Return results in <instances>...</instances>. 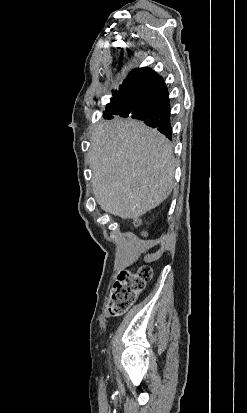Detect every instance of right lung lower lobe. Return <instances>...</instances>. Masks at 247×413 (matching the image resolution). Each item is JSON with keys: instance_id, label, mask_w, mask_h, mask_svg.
I'll list each match as a JSON object with an SVG mask.
<instances>
[{"instance_id": "right-lung-lower-lobe-1", "label": "right lung lower lobe", "mask_w": 247, "mask_h": 413, "mask_svg": "<svg viewBox=\"0 0 247 413\" xmlns=\"http://www.w3.org/2000/svg\"><path fill=\"white\" fill-rule=\"evenodd\" d=\"M128 83L135 88V98L113 97L106 106L104 118L112 119L117 115L141 120L171 139L169 94L162 77L151 70H143Z\"/></svg>"}]
</instances>
